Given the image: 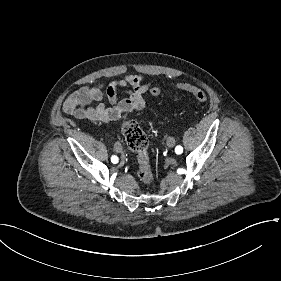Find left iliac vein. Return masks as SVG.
Here are the masks:
<instances>
[{"mask_svg": "<svg viewBox=\"0 0 281 281\" xmlns=\"http://www.w3.org/2000/svg\"><path fill=\"white\" fill-rule=\"evenodd\" d=\"M167 145H168V147L172 148L175 145V139L173 137H168Z\"/></svg>", "mask_w": 281, "mask_h": 281, "instance_id": "left-iliac-vein-1", "label": "left iliac vein"}]
</instances>
